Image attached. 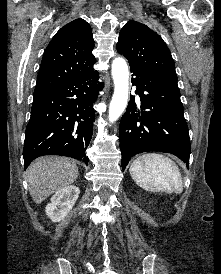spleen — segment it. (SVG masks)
<instances>
[{"label":"spleen","mask_w":221,"mask_h":274,"mask_svg":"<svg viewBox=\"0 0 221 274\" xmlns=\"http://www.w3.org/2000/svg\"><path fill=\"white\" fill-rule=\"evenodd\" d=\"M134 182L149 192L182 193L183 183L178 166L157 153L139 156L130 166Z\"/></svg>","instance_id":"3e777b00"}]
</instances>
